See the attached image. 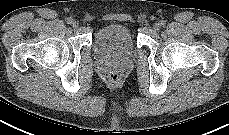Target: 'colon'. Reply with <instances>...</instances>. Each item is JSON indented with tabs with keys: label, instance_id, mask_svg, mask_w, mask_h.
I'll list each match as a JSON object with an SVG mask.
<instances>
[{
	"label": "colon",
	"instance_id": "1",
	"mask_svg": "<svg viewBox=\"0 0 229 135\" xmlns=\"http://www.w3.org/2000/svg\"><path fill=\"white\" fill-rule=\"evenodd\" d=\"M108 80L112 84H118L120 82V80H121V76H120V74L118 72L112 71L108 75Z\"/></svg>",
	"mask_w": 229,
	"mask_h": 135
}]
</instances>
